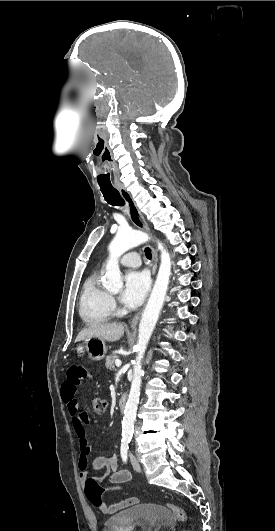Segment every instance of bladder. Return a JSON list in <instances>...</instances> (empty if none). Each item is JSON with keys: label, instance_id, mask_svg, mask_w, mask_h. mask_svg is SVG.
<instances>
[{"label": "bladder", "instance_id": "bladder-1", "mask_svg": "<svg viewBox=\"0 0 275 531\" xmlns=\"http://www.w3.org/2000/svg\"><path fill=\"white\" fill-rule=\"evenodd\" d=\"M174 516L160 503H141L103 521V531H173Z\"/></svg>", "mask_w": 275, "mask_h": 531}]
</instances>
